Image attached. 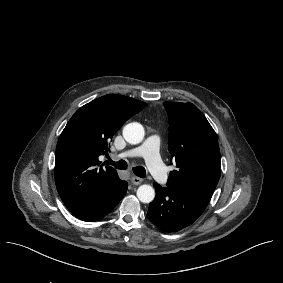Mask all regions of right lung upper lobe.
I'll use <instances>...</instances> for the list:
<instances>
[{
  "label": "right lung upper lobe",
  "instance_id": "obj_1",
  "mask_svg": "<svg viewBox=\"0 0 283 283\" xmlns=\"http://www.w3.org/2000/svg\"><path fill=\"white\" fill-rule=\"evenodd\" d=\"M145 106L137 99L109 94L71 117L58 140L54 169L57 190L71 212L94 206L119 188L122 180L115 169H98L99 157L108 155L112 136Z\"/></svg>",
  "mask_w": 283,
  "mask_h": 283
}]
</instances>
